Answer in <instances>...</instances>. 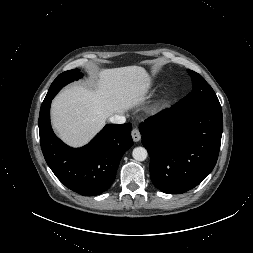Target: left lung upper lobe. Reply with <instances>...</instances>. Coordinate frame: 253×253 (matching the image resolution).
<instances>
[{
    "label": "left lung upper lobe",
    "instance_id": "5c2ea615",
    "mask_svg": "<svg viewBox=\"0 0 253 253\" xmlns=\"http://www.w3.org/2000/svg\"><path fill=\"white\" fill-rule=\"evenodd\" d=\"M192 79L193 89L183 99L175 104L179 108L210 107L221 109L219 100L205 79L198 73L187 70Z\"/></svg>",
    "mask_w": 253,
    "mask_h": 253
}]
</instances>
